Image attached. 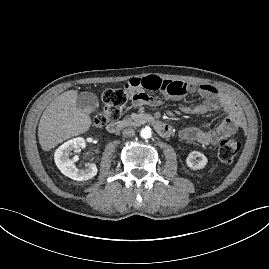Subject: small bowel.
I'll list each match as a JSON object with an SVG mask.
<instances>
[{
    "label": "small bowel",
    "mask_w": 269,
    "mask_h": 269,
    "mask_svg": "<svg viewBox=\"0 0 269 269\" xmlns=\"http://www.w3.org/2000/svg\"><path fill=\"white\" fill-rule=\"evenodd\" d=\"M125 86L134 108L160 106L162 101L148 94V91H160L176 100H182L191 93H198L204 99L203 103L183 106L182 111L187 114L202 115L220 110L225 112V118L216 128L204 129L199 126H190L182 129L180 137L183 140L203 146L215 145L237 130L245 129L246 121L240 107L229 96L209 84L163 80L158 76H148L132 78Z\"/></svg>",
    "instance_id": "obj_1"
}]
</instances>
